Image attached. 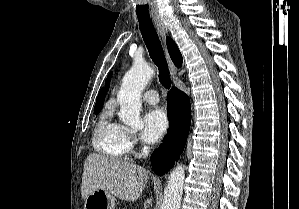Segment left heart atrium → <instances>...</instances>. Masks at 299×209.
<instances>
[{
    "label": "left heart atrium",
    "mask_w": 299,
    "mask_h": 209,
    "mask_svg": "<svg viewBox=\"0 0 299 209\" xmlns=\"http://www.w3.org/2000/svg\"><path fill=\"white\" fill-rule=\"evenodd\" d=\"M143 122L142 139L148 144L158 142L166 132L169 124L167 114L162 108L149 110L145 114Z\"/></svg>",
    "instance_id": "39dd6f15"
}]
</instances>
